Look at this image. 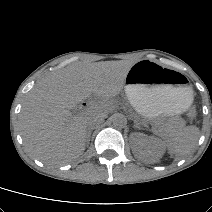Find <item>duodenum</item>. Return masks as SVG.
Returning <instances> with one entry per match:
<instances>
[{
    "instance_id": "duodenum-1",
    "label": "duodenum",
    "mask_w": 212,
    "mask_h": 212,
    "mask_svg": "<svg viewBox=\"0 0 212 212\" xmlns=\"http://www.w3.org/2000/svg\"><path fill=\"white\" fill-rule=\"evenodd\" d=\"M82 107H83V108H88V107H89V103H88V102L82 103Z\"/></svg>"
}]
</instances>
